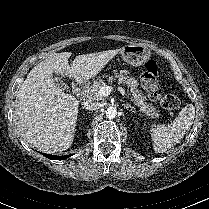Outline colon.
Wrapping results in <instances>:
<instances>
[{"label":"colon","mask_w":209,"mask_h":209,"mask_svg":"<svg viewBox=\"0 0 209 209\" xmlns=\"http://www.w3.org/2000/svg\"><path fill=\"white\" fill-rule=\"evenodd\" d=\"M141 82L150 98L159 101L167 110H177L181 106L179 98L173 94H164L159 83L158 66L155 60L150 59L145 63V70Z\"/></svg>","instance_id":"5ec220e1"}]
</instances>
